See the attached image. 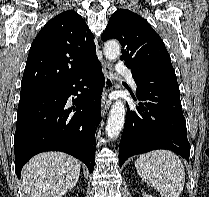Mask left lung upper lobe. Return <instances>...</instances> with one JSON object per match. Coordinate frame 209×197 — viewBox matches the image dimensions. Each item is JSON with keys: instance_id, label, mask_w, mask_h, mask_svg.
Returning a JSON list of instances; mask_svg holds the SVG:
<instances>
[{"instance_id": "1", "label": "left lung upper lobe", "mask_w": 209, "mask_h": 197, "mask_svg": "<svg viewBox=\"0 0 209 197\" xmlns=\"http://www.w3.org/2000/svg\"><path fill=\"white\" fill-rule=\"evenodd\" d=\"M102 40L116 38L122 45L121 60L136 81L178 84L171 58L160 36L139 15L119 9L113 13Z\"/></svg>"}]
</instances>
